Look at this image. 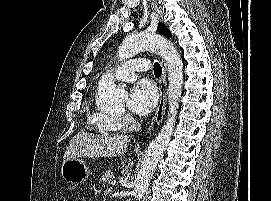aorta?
Listing matches in <instances>:
<instances>
[{
    "instance_id": "obj_1",
    "label": "aorta",
    "mask_w": 271,
    "mask_h": 201,
    "mask_svg": "<svg viewBox=\"0 0 271 201\" xmlns=\"http://www.w3.org/2000/svg\"><path fill=\"white\" fill-rule=\"evenodd\" d=\"M144 50L156 52L165 59L169 81V112L166 123L145 152L133 191L136 201L144 196L158 160L171 139L183 84V63L180 55L170 41L158 34L143 32L128 35L119 48L118 57L119 60H125ZM126 97L127 92L124 89L116 88L110 78L109 80L105 79L98 87L96 105L100 109L121 106Z\"/></svg>"
}]
</instances>
